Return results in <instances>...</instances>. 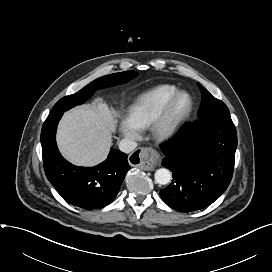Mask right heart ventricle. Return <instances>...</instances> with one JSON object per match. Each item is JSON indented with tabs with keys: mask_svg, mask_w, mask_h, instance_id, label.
I'll list each match as a JSON object with an SVG mask.
<instances>
[{
	"mask_svg": "<svg viewBox=\"0 0 272 272\" xmlns=\"http://www.w3.org/2000/svg\"><path fill=\"white\" fill-rule=\"evenodd\" d=\"M177 91L175 85L163 84L144 92L130 105L128 119L138 129L150 127Z\"/></svg>",
	"mask_w": 272,
	"mask_h": 272,
	"instance_id": "right-heart-ventricle-1",
	"label": "right heart ventricle"
}]
</instances>
